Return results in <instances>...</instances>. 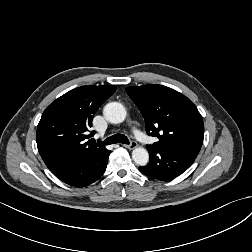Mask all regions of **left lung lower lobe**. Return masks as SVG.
<instances>
[{"label":"left lung lower lobe","instance_id":"obj_1","mask_svg":"<svg viewBox=\"0 0 252 252\" xmlns=\"http://www.w3.org/2000/svg\"><path fill=\"white\" fill-rule=\"evenodd\" d=\"M149 163L139 170L158 180H170L187 170L197 157L185 150H156L148 148Z\"/></svg>","mask_w":252,"mask_h":252}]
</instances>
